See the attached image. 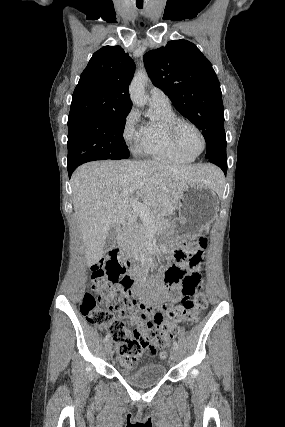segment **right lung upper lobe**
<instances>
[{"label": "right lung upper lobe", "instance_id": "obj_1", "mask_svg": "<svg viewBox=\"0 0 285 427\" xmlns=\"http://www.w3.org/2000/svg\"><path fill=\"white\" fill-rule=\"evenodd\" d=\"M134 72L133 60L120 46H105L95 52L74 90L68 121L129 113L128 86Z\"/></svg>", "mask_w": 285, "mask_h": 427}]
</instances>
